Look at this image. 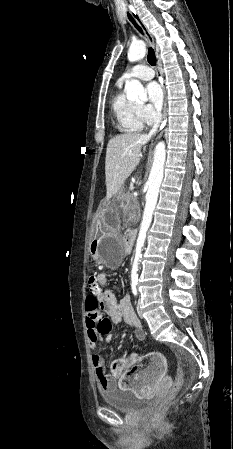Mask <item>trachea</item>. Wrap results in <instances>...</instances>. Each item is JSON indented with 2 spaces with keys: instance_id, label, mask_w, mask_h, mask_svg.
I'll list each match as a JSON object with an SVG mask.
<instances>
[{
  "instance_id": "trachea-1",
  "label": "trachea",
  "mask_w": 233,
  "mask_h": 449,
  "mask_svg": "<svg viewBox=\"0 0 233 449\" xmlns=\"http://www.w3.org/2000/svg\"><path fill=\"white\" fill-rule=\"evenodd\" d=\"M128 19L132 22V24L140 31H142L141 27L136 23V21L134 20V18L128 13ZM147 60L148 62L154 66L156 64V57H155V52L152 48H149L148 51V55H147Z\"/></svg>"
}]
</instances>
